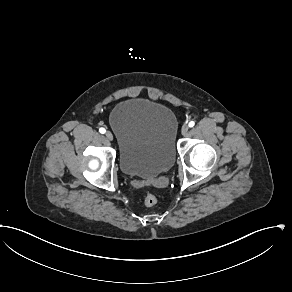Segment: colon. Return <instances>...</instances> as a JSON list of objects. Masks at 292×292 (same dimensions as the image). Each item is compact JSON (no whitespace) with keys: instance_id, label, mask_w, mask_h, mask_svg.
<instances>
[{"instance_id":"1","label":"colon","mask_w":292,"mask_h":292,"mask_svg":"<svg viewBox=\"0 0 292 292\" xmlns=\"http://www.w3.org/2000/svg\"><path fill=\"white\" fill-rule=\"evenodd\" d=\"M143 202L146 206H154L157 203V196L152 192H147L144 195Z\"/></svg>"}]
</instances>
